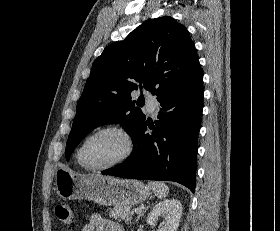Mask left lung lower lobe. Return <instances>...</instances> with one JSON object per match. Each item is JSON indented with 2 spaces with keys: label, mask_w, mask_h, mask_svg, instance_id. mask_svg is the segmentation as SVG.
<instances>
[{
  "label": "left lung lower lobe",
  "mask_w": 280,
  "mask_h": 231,
  "mask_svg": "<svg viewBox=\"0 0 280 231\" xmlns=\"http://www.w3.org/2000/svg\"><path fill=\"white\" fill-rule=\"evenodd\" d=\"M203 71L157 95L155 126L145 120L132 134L131 156L104 175L142 180L174 181L192 192L196 187L198 134L203 111ZM147 126L152 133L145 134Z\"/></svg>",
  "instance_id": "0a47b994"
}]
</instances>
